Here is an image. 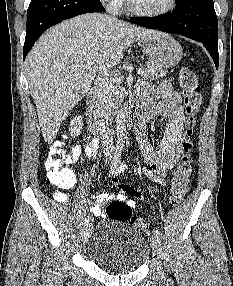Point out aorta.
I'll use <instances>...</instances> for the list:
<instances>
[{"instance_id": "762f6f07", "label": "aorta", "mask_w": 233, "mask_h": 286, "mask_svg": "<svg viewBox=\"0 0 233 286\" xmlns=\"http://www.w3.org/2000/svg\"><path fill=\"white\" fill-rule=\"evenodd\" d=\"M115 121L117 137L119 140H122L125 137L126 131V115L124 109H119L117 111Z\"/></svg>"}]
</instances>
